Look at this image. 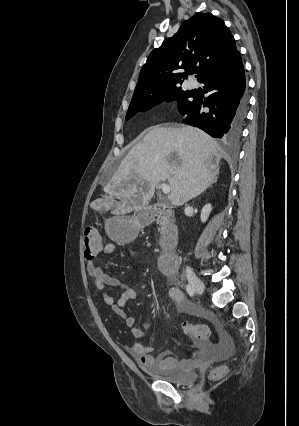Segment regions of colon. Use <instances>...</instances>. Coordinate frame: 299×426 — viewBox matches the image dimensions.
<instances>
[{"mask_svg": "<svg viewBox=\"0 0 299 426\" xmlns=\"http://www.w3.org/2000/svg\"><path fill=\"white\" fill-rule=\"evenodd\" d=\"M104 245L103 238L97 229L88 227L84 235V256L87 261L94 260L100 253ZM183 332L198 341H206L209 337L210 330L206 325L191 324L184 322L182 324ZM226 367L217 366L210 372V379L219 380L225 376Z\"/></svg>", "mask_w": 299, "mask_h": 426, "instance_id": "1", "label": "colon"}]
</instances>
